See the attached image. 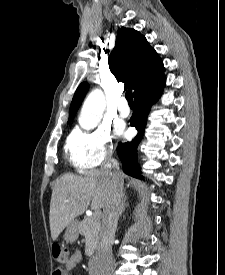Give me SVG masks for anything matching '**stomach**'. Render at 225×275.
Returning a JSON list of instances; mask_svg holds the SVG:
<instances>
[{"mask_svg":"<svg viewBox=\"0 0 225 275\" xmlns=\"http://www.w3.org/2000/svg\"><path fill=\"white\" fill-rule=\"evenodd\" d=\"M78 238V224L76 222L70 223L64 233V239L68 243H73Z\"/></svg>","mask_w":225,"mask_h":275,"instance_id":"obj_1","label":"stomach"}]
</instances>
